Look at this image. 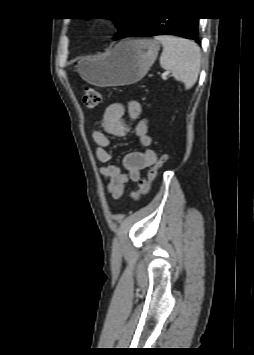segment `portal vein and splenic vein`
I'll return each instance as SVG.
<instances>
[{"instance_id": "portal-vein-and-splenic-vein-1", "label": "portal vein and splenic vein", "mask_w": 254, "mask_h": 355, "mask_svg": "<svg viewBox=\"0 0 254 355\" xmlns=\"http://www.w3.org/2000/svg\"><path fill=\"white\" fill-rule=\"evenodd\" d=\"M169 75L168 71H165L161 74L162 78L166 79V77Z\"/></svg>"}]
</instances>
